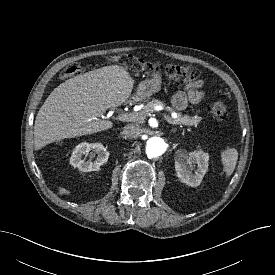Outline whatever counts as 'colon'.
I'll list each match as a JSON object with an SVG mask.
<instances>
[{"mask_svg": "<svg viewBox=\"0 0 275 275\" xmlns=\"http://www.w3.org/2000/svg\"><path fill=\"white\" fill-rule=\"evenodd\" d=\"M111 60L122 64L126 68L136 71L149 73L156 69V66L145 62L131 54H119L111 57ZM164 72L170 81L177 84H189L196 81L200 77V70L193 66L187 65H167L164 67ZM81 73L79 65H71L66 68L62 74L61 79H69L78 76ZM209 113L217 119L223 120L228 115L227 106L221 101H213L208 105Z\"/></svg>", "mask_w": 275, "mask_h": 275, "instance_id": "5ec220e1", "label": "colon"}]
</instances>
